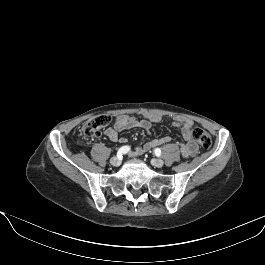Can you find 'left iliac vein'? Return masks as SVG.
<instances>
[{"mask_svg":"<svg viewBox=\"0 0 265 265\" xmlns=\"http://www.w3.org/2000/svg\"><path fill=\"white\" fill-rule=\"evenodd\" d=\"M151 163H152V165L155 166V167H162V166L164 165L163 160L158 159V158H154V159H152V160H151Z\"/></svg>","mask_w":265,"mask_h":265,"instance_id":"obj_1","label":"left iliac vein"}]
</instances>
